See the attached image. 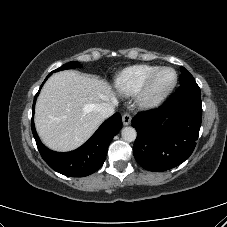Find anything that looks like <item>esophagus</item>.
Here are the masks:
<instances>
[{"instance_id": "obj_1", "label": "esophagus", "mask_w": 227, "mask_h": 227, "mask_svg": "<svg viewBox=\"0 0 227 227\" xmlns=\"http://www.w3.org/2000/svg\"><path fill=\"white\" fill-rule=\"evenodd\" d=\"M122 121H123V124H124L125 126H126V125H129L130 122H131V116H130V114H128V113L123 114V116H122Z\"/></svg>"}]
</instances>
